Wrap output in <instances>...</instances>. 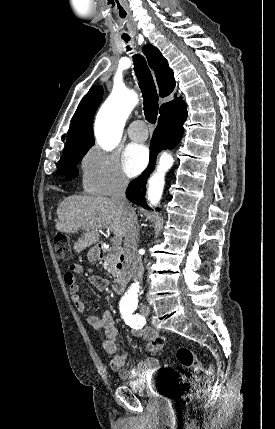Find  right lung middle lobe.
Listing matches in <instances>:
<instances>
[{"mask_svg":"<svg viewBox=\"0 0 275 429\" xmlns=\"http://www.w3.org/2000/svg\"><path fill=\"white\" fill-rule=\"evenodd\" d=\"M84 153H76L62 156L58 166L57 174L66 175V180H71L77 176L78 170L76 165L82 160Z\"/></svg>","mask_w":275,"mask_h":429,"instance_id":"right-lung-middle-lobe-1","label":"right lung middle lobe"}]
</instances>
